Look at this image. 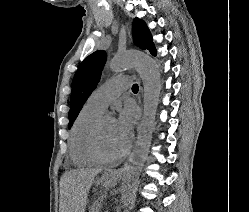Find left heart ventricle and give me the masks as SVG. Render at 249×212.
Here are the masks:
<instances>
[{
  "label": "left heart ventricle",
  "instance_id": "obj_1",
  "mask_svg": "<svg viewBox=\"0 0 249 212\" xmlns=\"http://www.w3.org/2000/svg\"><path fill=\"white\" fill-rule=\"evenodd\" d=\"M99 146L101 151L108 156H116L122 150L114 134V120L104 117L99 130Z\"/></svg>",
  "mask_w": 249,
  "mask_h": 212
}]
</instances>
